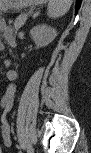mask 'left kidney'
I'll use <instances>...</instances> for the list:
<instances>
[{"label":"left kidney","instance_id":"obj_1","mask_svg":"<svg viewBox=\"0 0 91 153\" xmlns=\"http://www.w3.org/2000/svg\"><path fill=\"white\" fill-rule=\"evenodd\" d=\"M31 36L35 41L37 48H39L50 44L57 36V32L54 28L46 24H42L34 27L31 30Z\"/></svg>","mask_w":91,"mask_h":153}]
</instances>
